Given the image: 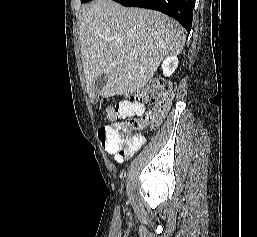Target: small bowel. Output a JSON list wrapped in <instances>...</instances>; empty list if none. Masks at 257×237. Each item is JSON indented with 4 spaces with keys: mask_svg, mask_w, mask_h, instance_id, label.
Wrapping results in <instances>:
<instances>
[{
    "mask_svg": "<svg viewBox=\"0 0 257 237\" xmlns=\"http://www.w3.org/2000/svg\"><path fill=\"white\" fill-rule=\"evenodd\" d=\"M143 111L144 105L141 102L125 100L119 102L115 108H111L108 111V115L111 120H116L141 115ZM144 142L145 138L143 136H134L121 147L116 146L115 148H110L107 145L105 149L114 156L116 161L123 162L126 158L136 153Z\"/></svg>",
    "mask_w": 257,
    "mask_h": 237,
    "instance_id": "1",
    "label": "small bowel"
}]
</instances>
